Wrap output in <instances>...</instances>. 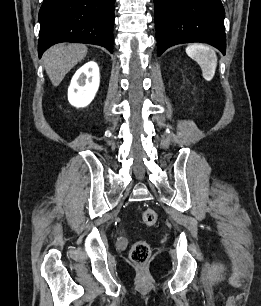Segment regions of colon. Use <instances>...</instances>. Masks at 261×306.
I'll return each mask as SVG.
<instances>
[{"label":"colon","instance_id":"1","mask_svg":"<svg viewBox=\"0 0 261 306\" xmlns=\"http://www.w3.org/2000/svg\"><path fill=\"white\" fill-rule=\"evenodd\" d=\"M157 213L147 208L142 211L141 219L147 227H153L157 223ZM150 256V247L146 241L140 240L133 244L130 252L131 260L138 265L144 264Z\"/></svg>","mask_w":261,"mask_h":306}]
</instances>
